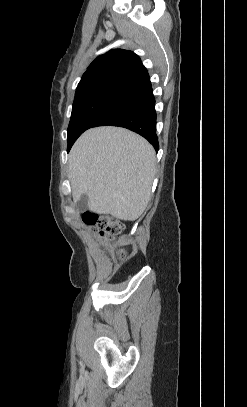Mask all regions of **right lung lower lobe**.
<instances>
[{"instance_id": "1", "label": "right lung lower lobe", "mask_w": 247, "mask_h": 407, "mask_svg": "<svg viewBox=\"0 0 247 407\" xmlns=\"http://www.w3.org/2000/svg\"><path fill=\"white\" fill-rule=\"evenodd\" d=\"M156 117L155 98L149 86L108 112L92 127L112 125L130 129L147 139L158 151Z\"/></svg>"}]
</instances>
